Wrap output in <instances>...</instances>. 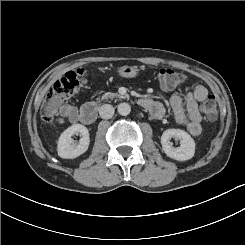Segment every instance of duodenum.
<instances>
[{"label":"duodenum","instance_id":"1","mask_svg":"<svg viewBox=\"0 0 245 245\" xmlns=\"http://www.w3.org/2000/svg\"><path fill=\"white\" fill-rule=\"evenodd\" d=\"M142 104V101H141ZM98 116V107L95 103L85 104L79 111V119L84 124H92Z\"/></svg>","mask_w":245,"mask_h":245}]
</instances>
